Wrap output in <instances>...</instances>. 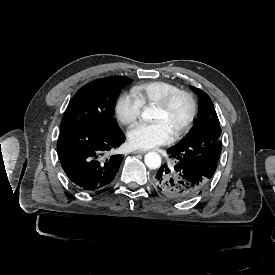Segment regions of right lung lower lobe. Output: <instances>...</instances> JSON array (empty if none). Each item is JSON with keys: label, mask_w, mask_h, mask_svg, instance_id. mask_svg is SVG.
Segmentation results:
<instances>
[{"label": "right lung lower lobe", "mask_w": 275, "mask_h": 275, "mask_svg": "<svg viewBox=\"0 0 275 275\" xmlns=\"http://www.w3.org/2000/svg\"><path fill=\"white\" fill-rule=\"evenodd\" d=\"M124 141L120 129L99 134L82 127L63 128L57 142L61 166L78 189L98 190L109 184L118 172L123 157L110 152Z\"/></svg>", "instance_id": "1"}]
</instances>
